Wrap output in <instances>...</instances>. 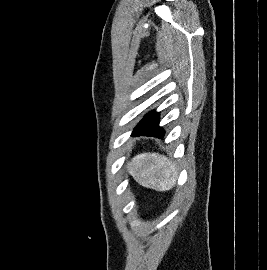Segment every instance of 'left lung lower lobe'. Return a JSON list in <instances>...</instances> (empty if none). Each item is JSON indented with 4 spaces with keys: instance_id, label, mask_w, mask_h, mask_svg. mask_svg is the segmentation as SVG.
I'll use <instances>...</instances> for the list:
<instances>
[{
    "instance_id": "left-lung-lower-lobe-1",
    "label": "left lung lower lobe",
    "mask_w": 267,
    "mask_h": 270,
    "mask_svg": "<svg viewBox=\"0 0 267 270\" xmlns=\"http://www.w3.org/2000/svg\"><path fill=\"white\" fill-rule=\"evenodd\" d=\"M159 122L158 112L153 110L147 113L133 130L132 136L145 135L163 138L165 131L159 126Z\"/></svg>"
}]
</instances>
